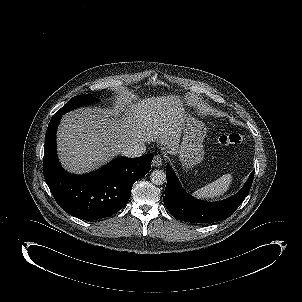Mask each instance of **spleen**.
I'll return each instance as SVG.
<instances>
[{
  "label": "spleen",
  "instance_id": "obj_1",
  "mask_svg": "<svg viewBox=\"0 0 302 302\" xmlns=\"http://www.w3.org/2000/svg\"><path fill=\"white\" fill-rule=\"evenodd\" d=\"M232 182L231 174H224L217 180L205 185L193 192V196L198 199H214L228 191Z\"/></svg>",
  "mask_w": 302,
  "mask_h": 302
}]
</instances>
